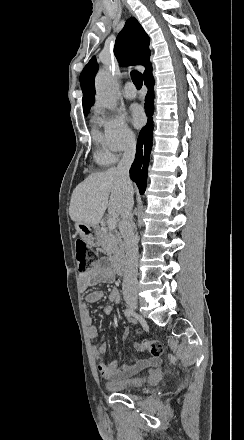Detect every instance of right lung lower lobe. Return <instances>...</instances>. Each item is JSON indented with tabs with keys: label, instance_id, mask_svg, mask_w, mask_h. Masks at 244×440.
Segmentation results:
<instances>
[{
	"label": "right lung lower lobe",
	"instance_id": "98d812e1",
	"mask_svg": "<svg viewBox=\"0 0 244 440\" xmlns=\"http://www.w3.org/2000/svg\"><path fill=\"white\" fill-rule=\"evenodd\" d=\"M143 78L145 85L148 87V93L145 98V112L148 116V121L146 126L140 131L136 158L130 169V178L137 184L140 194H143L146 189L149 155L152 148V114L154 110V78L152 69Z\"/></svg>",
	"mask_w": 244,
	"mask_h": 440
}]
</instances>
